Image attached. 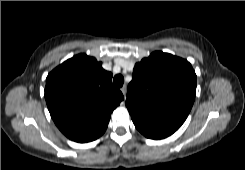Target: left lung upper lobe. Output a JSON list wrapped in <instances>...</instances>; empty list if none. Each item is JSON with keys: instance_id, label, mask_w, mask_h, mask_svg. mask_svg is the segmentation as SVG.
Returning a JSON list of instances; mask_svg holds the SVG:
<instances>
[{"instance_id": "5c2ea615", "label": "left lung upper lobe", "mask_w": 245, "mask_h": 170, "mask_svg": "<svg viewBox=\"0 0 245 170\" xmlns=\"http://www.w3.org/2000/svg\"><path fill=\"white\" fill-rule=\"evenodd\" d=\"M196 82L187 60L159 51L152 53L133 69L126 100L131 118L178 130L194 103Z\"/></svg>"}]
</instances>
